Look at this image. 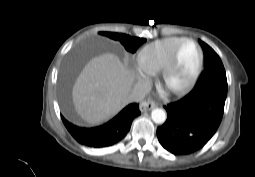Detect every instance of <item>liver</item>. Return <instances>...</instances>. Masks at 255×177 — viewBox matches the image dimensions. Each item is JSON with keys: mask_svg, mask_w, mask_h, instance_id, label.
Returning <instances> with one entry per match:
<instances>
[{"mask_svg": "<svg viewBox=\"0 0 255 177\" xmlns=\"http://www.w3.org/2000/svg\"><path fill=\"white\" fill-rule=\"evenodd\" d=\"M133 83V73L119 57L104 53L92 58L77 77L72 100L80 117L100 124L116 115L126 104Z\"/></svg>", "mask_w": 255, "mask_h": 177, "instance_id": "6515ba94", "label": "liver"}]
</instances>
